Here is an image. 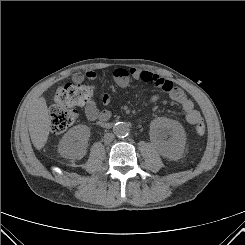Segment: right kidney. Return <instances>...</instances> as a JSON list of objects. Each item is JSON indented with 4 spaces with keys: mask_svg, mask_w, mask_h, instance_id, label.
<instances>
[{
    "mask_svg": "<svg viewBox=\"0 0 245 245\" xmlns=\"http://www.w3.org/2000/svg\"><path fill=\"white\" fill-rule=\"evenodd\" d=\"M90 128L86 125H77L69 129L62 137L58 151L61 156L70 159H81L88 146Z\"/></svg>",
    "mask_w": 245,
    "mask_h": 245,
    "instance_id": "right-kidney-1",
    "label": "right kidney"
}]
</instances>
